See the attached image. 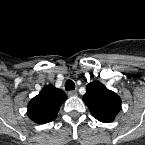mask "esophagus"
<instances>
[{"instance_id":"esophagus-1","label":"esophagus","mask_w":145,"mask_h":145,"mask_svg":"<svg viewBox=\"0 0 145 145\" xmlns=\"http://www.w3.org/2000/svg\"><path fill=\"white\" fill-rule=\"evenodd\" d=\"M77 90H71L68 92V96L73 97V96H77Z\"/></svg>"}]
</instances>
